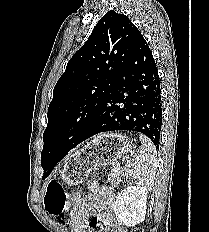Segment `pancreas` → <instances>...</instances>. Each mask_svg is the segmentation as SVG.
Wrapping results in <instances>:
<instances>
[{"mask_svg": "<svg viewBox=\"0 0 209 232\" xmlns=\"http://www.w3.org/2000/svg\"><path fill=\"white\" fill-rule=\"evenodd\" d=\"M122 177H124V172L122 169L120 168L112 169L108 176V180L112 184V186L116 188L119 186L120 182L122 181Z\"/></svg>", "mask_w": 209, "mask_h": 232, "instance_id": "1", "label": "pancreas"}]
</instances>
